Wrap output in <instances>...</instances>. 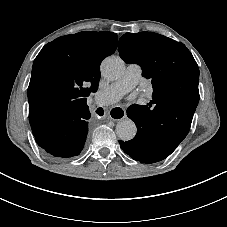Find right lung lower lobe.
<instances>
[{
	"mask_svg": "<svg viewBox=\"0 0 227 227\" xmlns=\"http://www.w3.org/2000/svg\"><path fill=\"white\" fill-rule=\"evenodd\" d=\"M90 112L87 105L62 114L37 104L29 105V120L37 144L57 158L77 156L88 134Z\"/></svg>",
	"mask_w": 227,
	"mask_h": 227,
	"instance_id": "98d812e1",
	"label": "right lung lower lobe"
}]
</instances>
